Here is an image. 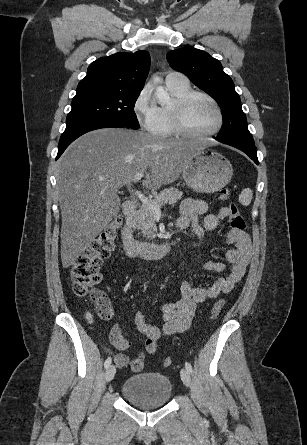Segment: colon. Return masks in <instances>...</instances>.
<instances>
[{"label":"colon","mask_w":307,"mask_h":445,"mask_svg":"<svg viewBox=\"0 0 307 445\" xmlns=\"http://www.w3.org/2000/svg\"><path fill=\"white\" fill-rule=\"evenodd\" d=\"M230 198L228 189H222L219 192V199L226 201ZM229 222L233 229L244 231L245 221L239 212L235 203H230ZM120 219H116L110 223L95 240L78 255L70 266V277L72 281L73 292L79 297L88 296L94 311L103 320H110L114 316V311L107 295L95 289V286L101 281L100 269L103 260L108 258L114 250ZM224 306V300H218L212 307L210 320H214L221 312ZM110 339L115 346L124 344L125 339L121 335L118 328H113L110 333ZM173 360L166 357L163 360L164 367H170Z\"/></svg>","instance_id":"5ec220e1"}]
</instances>
